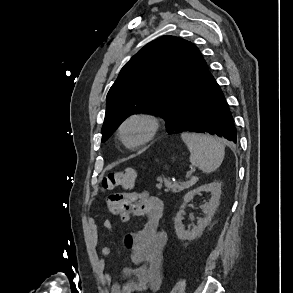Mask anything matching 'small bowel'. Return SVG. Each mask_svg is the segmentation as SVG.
Listing matches in <instances>:
<instances>
[{
    "instance_id": "obj_1",
    "label": "small bowel",
    "mask_w": 293,
    "mask_h": 293,
    "mask_svg": "<svg viewBox=\"0 0 293 293\" xmlns=\"http://www.w3.org/2000/svg\"><path fill=\"white\" fill-rule=\"evenodd\" d=\"M107 205L109 211L118 215L123 222L133 217L145 219L138 232L124 235V243L131 250L132 266L123 268L118 281H112L111 275H106L105 280L111 285V293L156 292L162 284L163 249L167 241V235L160 227L164 208L162 200L147 191H128L110 195ZM88 226L93 249L99 246L100 226L113 231L109 220L92 217L88 219ZM101 253L108 257L111 254L110 246L104 245Z\"/></svg>"
}]
</instances>
